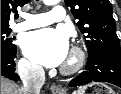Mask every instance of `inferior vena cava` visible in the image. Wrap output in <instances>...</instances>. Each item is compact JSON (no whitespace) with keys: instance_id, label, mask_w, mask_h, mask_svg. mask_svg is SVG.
Returning <instances> with one entry per match:
<instances>
[{"instance_id":"602c4592","label":"inferior vena cava","mask_w":121,"mask_h":94,"mask_svg":"<svg viewBox=\"0 0 121 94\" xmlns=\"http://www.w3.org/2000/svg\"><path fill=\"white\" fill-rule=\"evenodd\" d=\"M18 73L23 82L21 94H40L45 83V72L41 66L23 62L18 66Z\"/></svg>"}]
</instances>
